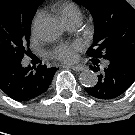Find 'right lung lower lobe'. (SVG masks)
Here are the masks:
<instances>
[{
  "mask_svg": "<svg viewBox=\"0 0 135 135\" xmlns=\"http://www.w3.org/2000/svg\"><path fill=\"white\" fill-rule=\"evenodd\" d=\"M21 61L0 54V90L16 101L26 102L47 91L57 68L39 65L33 70L23 67Z\"/></svg>",
  "mask_w": 135,
  "mask_h": 135,
  "instance_id": "98d812e1",
  "label": "right lung lower lobe"
}]
</instances>
